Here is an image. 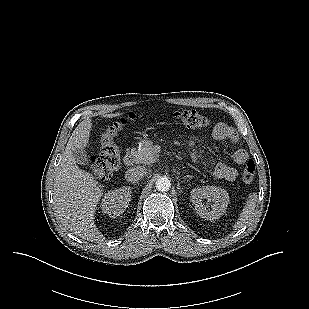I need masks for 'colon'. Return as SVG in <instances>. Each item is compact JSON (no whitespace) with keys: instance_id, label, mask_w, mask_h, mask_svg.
Instances as JSON below:
<instances>
[{"instance_id":"5ec220e1","label":"colon","mask_w":309,"mask_h":309,"mask_svg":"<svg viewBox=\"0 0 309 309\" xmlns=\"http://www.w3.org/2000/svg\"><path fill=\"white\" fill-rule=\"evenodd\" d=\"M177 122L190 128H205L209 125V120L195 110H181L174 113ZM139 116L131 114L126 118L112 124L101 137V156L91 157L89 166L92 172L101 179H108L114 171L121 165L120 148L116 142L117 137L126 130L129 125L136 122ZM255 176V163L249 160L241 174V179L245 184L253 181Z\"/></svg>"}]
</instances>
